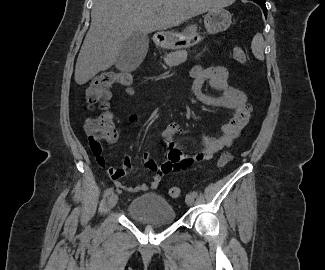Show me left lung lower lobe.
I'll return each instance as SVG.
<instances>
[{"mask_svg": "<svg viewBox=\"0 0 325 270\" xmlns=\"http://www.w3.org/2000/svg\"><path fill=\"white\" fill-rule=\"evenodd\" d=\"M252 1L257 3L263 9V12L265 13V16H267V8H266V5H265V0H252Z\"/></svg>", "mask_w": 325, "mask_h": 270, "instance_id": "left-lung-lower-lobe-1", "label": "left lung lower lobe"}]
</instances>
